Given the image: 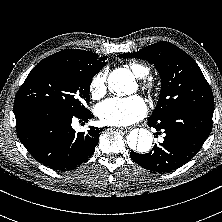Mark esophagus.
<instances>
[{
  "mask_svg": "<svg viewBox=\"0 0 222 222\" xmlns=\"http://www.w3.org/2000/svg\"><path fill=\"white\" fill-rule=\"evenodd\" d=\"M130 130V128H124V127H121L120 128V131H122V132H128Z\"/></svg>",
  "mask_w": 222,
  "mask_h": 222,
  "instance_id": "1",
  "label": "esophagus"
}]
</instances>
